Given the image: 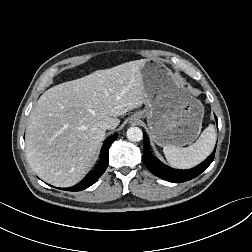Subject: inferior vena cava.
I'll return each instance as SVG.
<instances>
[{
    "label": "inferior vena cava",
    "instance_id": "602c4592",
    "mask_svg": "<svg viewBox=\"0 0 252 252\" xmlns=\"http://www.w3.org/2000/svg\"><path fill=\"white\" fill-rule=\"evenodd\" d=\"M101 127L103 129H113L114 125L109 121H105V122L102 123Z\"/></svg>",
    "mask_w": 252,
    "mask_h": 252
}]
</instances>
